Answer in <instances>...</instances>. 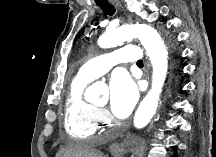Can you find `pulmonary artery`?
Masks as SVG:
<instances>
[{
  "instance_id": "pulmonary-artery-1",
  "label": "pulmonary artery",
  "mask_w": 216,
  "mask_h": 157,
  "mask_svg": "<svg viewBox=\"0 0 216 157\" xmlns=\"http://www.w3.org/2000/svg\"><path fill=\"white\" fill-rule=\"evenodd\" d=\"M142 54L138 47L127 45L111 53L99 55L88 60L78 70V76L85 80H93L96 77L105 74L113 66L123 62L139 61Z\"/></svg>"
}]
</instances>
